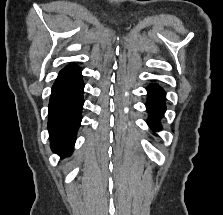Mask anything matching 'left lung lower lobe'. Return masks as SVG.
<instances>
[{"label":"left lung lower lobe","mask_w":223,"mask_h":215,"mask_svg":"<svg viewBox=\"0 0 223 215\" xmlns=\"http://www.w3.org/2000/svg\"><path fill=\"white\" fill-rule=\"evenodd\" d=\"M148 91V102L146 108L149 112V119L147 121L149 127L155 131L161 129L160 118L165 112V91L156 85L147 88Z\"/></svg>","instance_id":"1"}]
</instances>
